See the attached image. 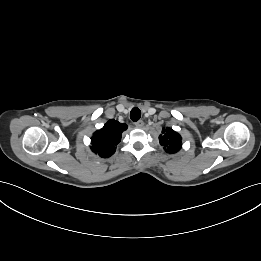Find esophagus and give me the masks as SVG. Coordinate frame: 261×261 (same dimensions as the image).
<instances>
[{
    "mask_svg": "<svg viewBox=\"0 0 261 261\" xmlns=\"http://www.w3.org/2000/svg\"><path fill=\"white\" fill-rule=\"evenodd\" d=\"M135 126H136L137 128H142V127L144 126V122H143L142 120H139V121H137V122L135 123Z\"/></svg>",
    "mask_w": 261,
    "mask_h": 261,
    "instance_id": "esophagus-1",
    "label": "esophagus"
}]
</instances>
